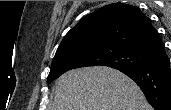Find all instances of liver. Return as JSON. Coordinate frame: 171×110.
<instances>
[{
  "label": "liver",
  "mask_w": 171,
  "mask_h": 110,
  "mask_svg": "<svg viewBox=\"0 0 171 110\" xmlns=\"http://www.w3.org/2000/svg\"><path fill=\"white\" fill-rule=\"evenodd\" d=\"M52 110H152L138 85L105 66L62 74L55 84Z\"/></svg>",
  "instance_id": "liver-1"
}]
</instances>
